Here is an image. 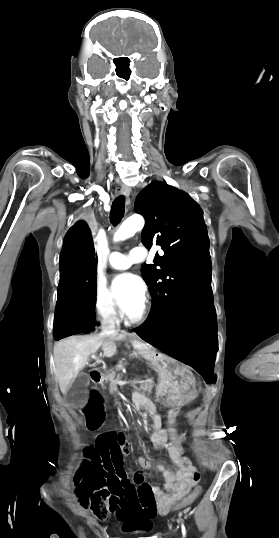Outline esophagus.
<instances>
[{
    "label": "esophagus",
    "mask_w": 279,
    "mask_h": 538,
    "mask_svg": "<svg viewBox=\"0 0 279 538\" xmlns=\"http://www.w3.org/2000/svg\"><path fill=\"white\" fill-rule=\"evenodd\" d=\"M130 191H131L130 188L127 187L126 185H124V186L121 188V193H122V195H125V197H127V198H128L129 195H130ZM132 335H133V334H132Z\"/></svg>",
    "instance_id": "esophagus-1"
}]
</instances>
